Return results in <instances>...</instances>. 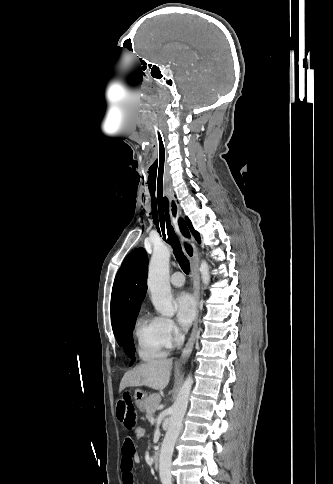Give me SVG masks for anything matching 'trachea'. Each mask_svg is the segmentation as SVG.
<instances>
[{
    "label": "trachea",
    "mask_w": 333,
    "mask_h": 484,
    "mask_svg": "<svg viewBox=\"0 0 333 484\" xmlns=\"http://www.w3.org/2000/svg\"><path fill=\"white\" fill-rule=\"evenodd\" d=\"M167 134L162 129L154 130L155 153L153 154L151 186L153 196L151 198L152 217L158 232L162 233L163 239L173 248V253L184 273L188 274L190 264L184 255L179 239L171 225L168 199L165 192V166L168 151L166 150Z\"/></svg>",
    "instance_id": "1"
}]
</instances>
